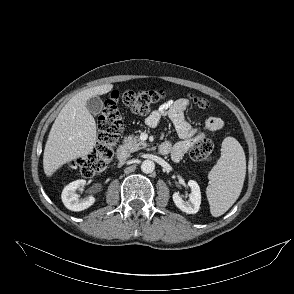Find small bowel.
Wrapping results in <instances>:
<instances>
[{
	"label": "small bowel",
	"instance_id": "obj_1",
	"mask_svg": "<svg viewBox=\"0 0 294 294\" xmlns=\"http://www.w3.org/2000/svg\"><path fill=\"white\" fill-rule=\"evenodd\" d=\"M188 106L189 101L185 98L168 101L146 118V124L152 128L157 127L163 117H168L173 123L181 140L174 144L170 141L164 143L169 145L168 153L175 162L183 158L195 139L205 137L208 132L219 131L224 126L222 119L214 116L208 117L201 127L191 126L184 116Z\"/></svg>",
	"mask_w": 294,
	"mask_h": 294
}]
</instances>
